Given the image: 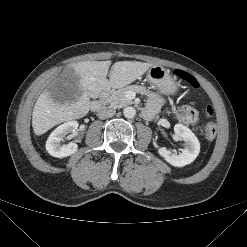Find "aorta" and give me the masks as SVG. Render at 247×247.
Masks as SVG:
<instances>
[{
	"instance_id": "1",
	"label": "aorta",
	"mask_w": 247,
	"mask_h": 247,
	"mask_svg": "<svg viewBox=\"0 0 247 247\" xmlns=\"http://www.w3.org/2000/svg\"><path fill=\"white\" fill-rule=\"evenodd\" d=\"M123 114L126 118H133L136 115V110L134 107L128 106V107L124 108Z\"/></svg>"
}]
</instances>
